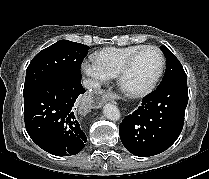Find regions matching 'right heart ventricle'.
Instances as JSON below:
<instances>
[{
	"mask_svg": "<svg viewBox=\"0 0 209 179\" xmlns=\"http://www.w3.org/2000/svg\"><path fill=\"white\" fill-rule=\"evenodd\" d=\"M144 46L137 44L123 47H106L93 55V61L107 78H114L125 61Z\"/></svg>",
	"mask_w": 209,
	"mask_h": 179,
	"instance_id": "obj_1",
	"label": "right heart ventricle"
}]
</instances>
